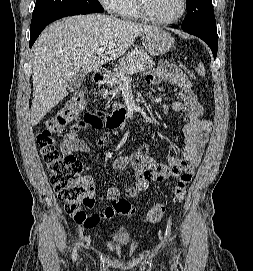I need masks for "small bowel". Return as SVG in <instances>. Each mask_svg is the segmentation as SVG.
Returning a JSON list of instances; mask_svg holds the SVG:
<instances>
[{
	"instance_id": "c3829d8e",
	"label": "small bowel",
	"mask_w": 253,
	"mask_h": 271,
	"mask_svg": "<svg viewBox=\"0 0 253 271\" xmlns=\"http://www.w3.org/2000/svg\"><path fill=\"white\" fill-rule=\"evenodd\" d=\"M148 84H172L179 88V99L172 103V110L181 113L186 118L184 126V149L182 159L170 157L167 163H155L150 156L148 144H142L138 150L130 155L118 157L113 164L116 172H124L128 167L133 170L134 182L124 188V195L127 198H134L148 188L150 181L161 182L170 177H180L184 173L193 175L196 167L201 162L204 147L212 128L209 120L203 119V108L197 101L192 89L189 76L178 67L161 61L156 70L148 72L146 76ZM103 127L102 120L94 122L83 119L77 122L65 135L62 144V151L67 154L87 153L90 146L79 137L82 130L87 128L100 129ZM108 128H112L107 124ZM107 143V134L95 141L96 146H103ZM91 183L89 178H84ZM121 195V189L114 184L107 190L108 200H115ZM111 206H107L96 217V223L102 219H109L114 215ZM92 226V227H93Z\"/></svg>"
}]
</instances>
